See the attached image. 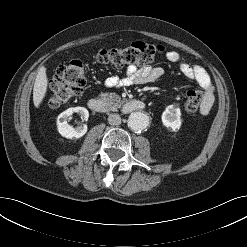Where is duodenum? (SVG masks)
I'll return each mask as SVG.
<instances>
[{
  "label": "duodenum",
  "instance_id": "duodenum-1",
  "mask_svg": "<svg viewBox=\"0 0 247 247\" xmlns=\"http://www.w3.org/2000/svg\"><path fill=\"white\" fill-rule=\"evenodd\" d=\"M89 107L100 113H108L111 111V105L108 101L101 99V98H91L88 102ZM145 107V104L138 99H130L127 100L122 108L124 113H131L135 111H141Z\"/></svg>",
  "mask_w": 247,
  "mask_h": 247
}]
</instances>
